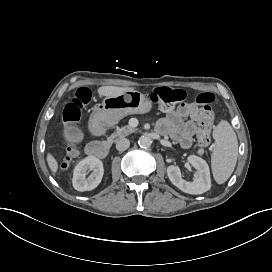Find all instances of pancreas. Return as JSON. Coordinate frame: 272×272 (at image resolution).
Masks as SVG:
<instances>
[{"instance_id":"pancreas-1","label":"pancreas","mask_w":272,"mask_h":272,"mask_svg":"<svg viewBox=\"0 0 272 272\" xmlns=\"http://www.w3.org/2000/svg\"><path fill=\"white\" fill-rule=\"evenodd\" d=\"M118 118H114V119H109L108 124H116L118 122ZM137 131L136 128L131 127L129 125H126L124 127H117V129L112 132L110 134V136L108 137L107 141L109 143H113L116 142L118 139L123 138L125 136H127L128 134H132L135 133Z\"/></svg>"}]
</instances>
